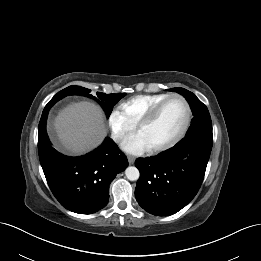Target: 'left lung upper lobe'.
I'll return each instance as SVG.
<instances>
[{"label":"left lung upper lobe","instance_id":"5c2ea615","mask_svg":"<svg viewBox=\"0 0 261 261\" xmlns=\"http://www.w3.org/2000/svg\"><path fill=\"white\" fill-rule=\"evenodd\" d=\"M168 91H175L183 95L190 104L194 117L192 118L191 126L189 127L186 136L195 134L212 136V122L209 111L195 94L180 87L168 89Z\"/></svg>","mask_w":261,"mask_h":261}]
</instances>
